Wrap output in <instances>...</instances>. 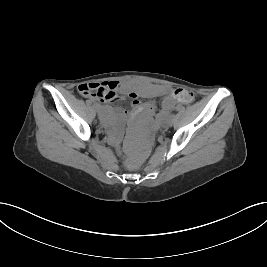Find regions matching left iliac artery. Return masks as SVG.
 I'll return each mask as SVG.
<instances>
[{
    "label": "left iliac artery",
    "instance_id": "1",
    "mask_svg": "<svg viewBox=\"0 0 267 267\" xmlns=\"http://www.w3.org/2000/svg\"><path fill=\"white\" fill-rule=\"evenodd\" d=\"M174 118L173 114L168 115L167 119L172 120Z\"/></svg>",
    "mask_w": 267,
    "mask_h": 267
}]
</instances>
